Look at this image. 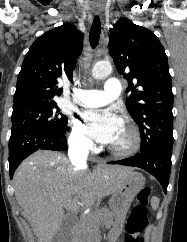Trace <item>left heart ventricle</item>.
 <instances>
[{"label": "left heart ventricle", "instance_id": "1", "mask_svg": "<svg viewBox=\"0 0 187 242\" xmlns=\"http://www.w3.org/2000/svg\"><path fill=\"white\" fill-rule=\"evenodd\" d=\"M131 141L132 137L128 128L121 122L117 134L110 146L117 149H124L131 144Z\"/></svg>", "mask_w": 187, "mask_h": 242}]
</instances>
